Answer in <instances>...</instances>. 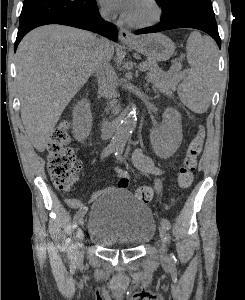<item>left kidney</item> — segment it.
<instances>
[{
    "instance_id": "left-kidney-1",
    "label": "left kidney",
    "mask_w": 245,
    "mask_h": 300,
    "mask_svg": "<svg viewBox=\"0 0 245 300\" xmlns=\"http://www.w3.org/2000/svg\"><path fill=\"white\" fill-rule=\"evenodd\" d=\"M181 115L176 109L167 108L163 122L151 132V141L155 151L162 156H171L182 142Z\"/></svg>"
}]
</instances>
